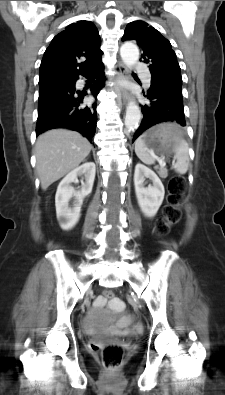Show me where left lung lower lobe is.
<instances>
[{"mask_svg":"<svg viewBox=\"0 0 225 395\" xmlns=\"http://www.w3.org/2000/svg\"><path fill=\"white\" fill-rule=\"evenodd\" d=\"M181 85L172 81L151 79L147 95L143 92L149 103L142 105L144 118L135 132L133 141L143 131L161 122L174 121L181 126L186 125Z\"/></svg>","mask_w":225,"mask_h":395,"instance_id":"0a47b994","label":"left lung lower lobe"}]
</instances>
